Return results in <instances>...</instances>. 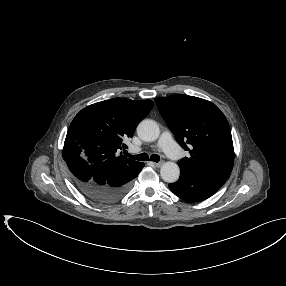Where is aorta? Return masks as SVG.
I'll use <instances>...</instances> for the list:
<instances>
[{
	"label": "aorta",
	"mask_w": 286,
	"mask_h": 286,
	"mask_svg": "<svg viewBox=\"0 0 286 286\" xmlns=\"http://www.w3.org/2000/svg\"><path fill=\"white\" fill-rule=\"evenodd\" d=\"M138 136L147 142H153L158 139L160 129L158 124L151 119L142 120L137 127ZM161 178L167 183H174L179 179L180 168L174 162H165L160 169Z\"/></svg>",
	"instance_id": "obj_1"
}]
</instances>
